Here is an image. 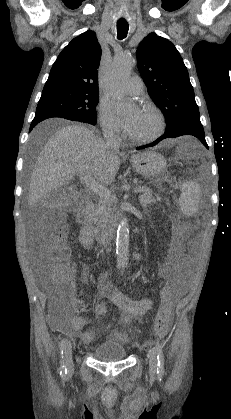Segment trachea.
Listing matches in <instances>:
<instances>
[{"mask_svg": "<svg viewBox=\"0 0 231 419\" xmlns=\"http://www.w3.org/2000/svg\"><path fill=\"white\" fill-rule=\"evenodd\" d=\"M129 25L125 21L117 22V37L122 40L127 36Z\"/></svg>", "mask_w": 231, "mask_h": 419, "instance_id": "3493384b", "label": "trachea"}]
</instances>
